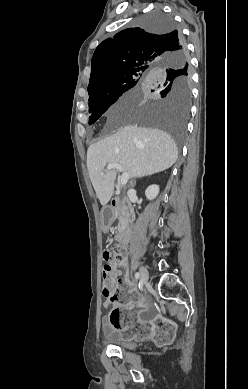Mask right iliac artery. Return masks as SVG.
I'll use <instances>...</instances> for the list:
<instances>
[{
  "instance_id": "right-iliac-artery-1",
  "label": "right iliac artery",
  "mask_w": 248,
  "mask_h": 389,
  "mask_svg": "<svg viewBox=\"0 0 248 389\" xmlns=\"http://www.w3.org/2000/svg\"><path fill=\"white\" fill-rule=\"evenodd\" d=\"M135 278L138 280L140 278V274L137 272L135 273Z\"/></svg>"
}]
</instances>
